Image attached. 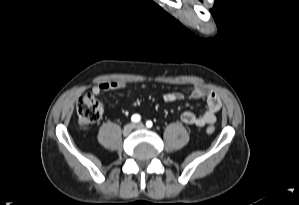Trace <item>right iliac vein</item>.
Instances as JSON below:
<instances>
[{
  "mask_svg": "<svg viewBox=\"0 0 299 205\" xmlns=\"http://www.w3.org/2000/svg\"><path fill=\"white\" fill-rule=\"evenodd\" d=\"M133 128H134L133 124L126 125L123 129V135L128 136L132 132Z\"/></svg>",
  "mask_w": 299,
  "mask_h": 205,
  "instance_id": "63e3f726",
  "label": "right iliac vein"
}]
</instances>
